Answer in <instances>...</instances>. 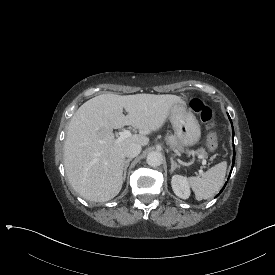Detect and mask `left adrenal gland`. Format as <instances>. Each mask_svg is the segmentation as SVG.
I'll list each match as a JSON object with an SVG mask.
<instances>
[{
    "label": "left adrenal gland",
    "mask_w": 275,
    "mask_h": 275,
    "mask_svg": "<svg viewBox=\"0 0 275 275\" xmlns=\"http://www.w3.org/2000/svg\"><path fill=\"white\" fill-rule=\"evenodd\" d=\"M170 161H171L170 172H172L176 166H179V164L176 161H174L173 156H170Z\"/></svg>",
    "instance_id": "left-adrenal-gland-1"
}]
</instances>
